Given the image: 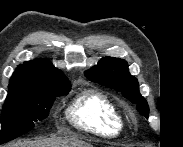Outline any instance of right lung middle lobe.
Returning <instances> with one entry per match:
<instances>
[{
	"label": "right lung middle lobe",
	"instance_id": "dd1d6c3e",
	"mask_svg": "<svg viewBox=\"0 0 183 147\" xmlns=\"http://www.w3.org/2000/svg\"><path fill=\"white\" fill-rule=\"evenodd\" d=\"M69 89L70 84L61 88H9L1 115L0 144L33 129L37 120L48 117L55 96H63Z\"/></svg>",
	"mask_w": 183,
	"mask_h": 147
}]
</instances>
